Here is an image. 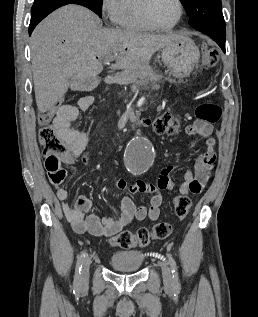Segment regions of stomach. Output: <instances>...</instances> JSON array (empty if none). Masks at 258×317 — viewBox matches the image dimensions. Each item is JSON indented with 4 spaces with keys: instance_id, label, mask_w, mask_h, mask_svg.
I'll return each mask as SVG.
<instances>
[{
    "instance_id": "0dacf381",
    "label": "stomach",
    "mask_w": 258,
    "mask_h": 317,
    "mask_svg": "<svg viewBox=\"0 0 258 317\" xmlns=\"http://www.w3.org/2000/svg\"><path fill=\"white\" fill-rule=\"evenodd\" d=\"M161 56L171 74L177 78H183L193 70L200 58V52L192 38L183 36L178 42L164 46Z\"/></svg>"
}]
</instances>
